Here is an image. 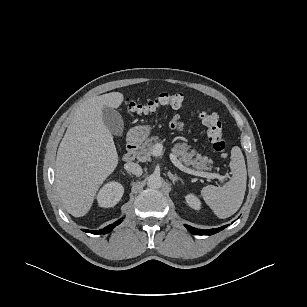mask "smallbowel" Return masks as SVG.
Returning a JSON list of instances; mask_svg holds the SVG:
<instances>
[{"instance_id":"1","label":"small bowel","mask_w":307,"mask_h":307,"mask_svg":"<svg viewBox=\"0 0 307 307\" xmlns=\"http://www.w3.org/2000/svg\"><path fill=\"white\" fill-rule=\"evenodd\" d=\"M169 127H170V129L176 130L180 133H182L184 131L185 126H184V122L181 121L180 115L177 114L173 117V119L169 123Z\"/></svg>"}]
</instances>
